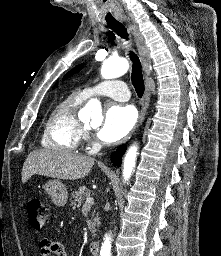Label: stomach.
Listing matches in <instances>:
<instances>
[{"instance_id":"0dacf381","label":"stomach","mask_w":221,"mask_h":256,"mask_svg":"<svg viewBox=\"0 0 221 256\" xmlns=\"http://www.w3.org/2000/svg\"><path fill=\"white\" fill-rule=\"evenodd\" d=\"M44 190L56 206H63L67 202L68 191L59 180H49L44 185Z\"/></svg>"}]
</instances>
